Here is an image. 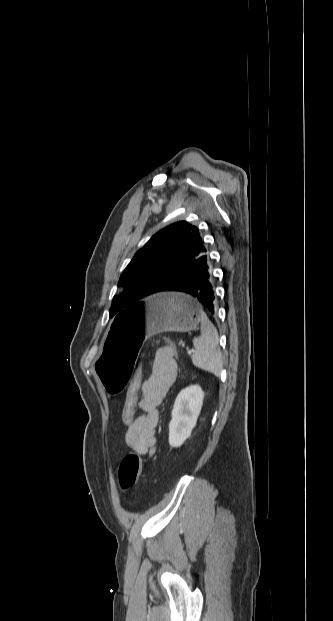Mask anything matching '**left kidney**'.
<instances>
[{"label": "left kidney", "mask_w": 333, "mask_h": 621, "mask_svg": "<svg viewBox=\"0 0 333 621\" xmlns=\"http://www.w3.org/2000/svg\"><path fill=\"white\" fill-rule=\"evenodd\" d=\"M203 399L204 392L199 385L189 386L178 394L169 424L170 446L180 447L190 437L197 423Z\"/></svg>", "instance_id": "5707ae66"}]
</instances>
